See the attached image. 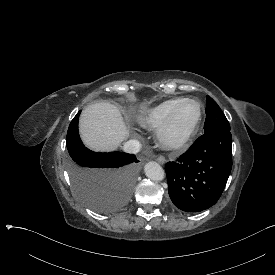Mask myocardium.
<instances>
[{
  "label": "myocardium",
  "mask_w": 275,
  "mask_h": 275,
  "mask_svg": "<svg viewBox=\"0 0 275 275\" xmlns=\"http://www.w3.org/2000/svg\"><path fill=\"white\" fill-rule=\"evenodd\" d=\"M185 103H192L197 108V114L194 119V121L191 123V125L183 131L177 130L175 126V113L177 111V108ZM201 120V106L200 104L193 100V99H183L180 102H178L175 107L171 110L169 113L165 123L163 126L159 129L158 135H157V143L160 147L167 149V150H177L182 148L193 136L195 133L199 122Z\"/></svg>",
  "instance_id": "obj_1"
}]
</instances>
